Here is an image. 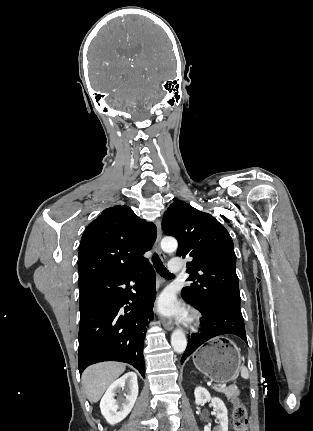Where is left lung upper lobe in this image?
<instances>
[{"label": "left lung upper lobe", "instance_id": "left-lung-upper-lobe-1", "mask_svg": "<svg viewBox=\"0 0 313 431\" xmlns=\"http://www.w3.org/2000/svg\"><path fill=\"white\" fill-rule=\"evenodd\" d=\"M165 234L178 241L177 255L187 263L190 286L182 289L184 300L196 308L213 303L240 305L236 255L232 238L213 216L183 201L172 203L164 214Z\"/></svg>", "mask_w": 313, "mask_h": 431}]
</instances>
